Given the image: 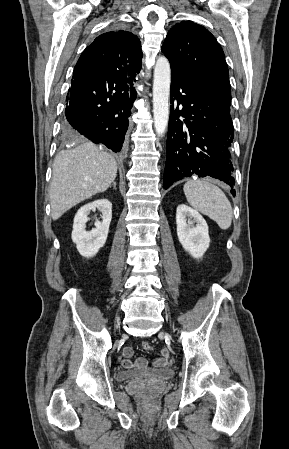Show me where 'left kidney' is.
<instances>
[{
  "label": "left kidney",
  "mask_w": 289,
  "mask_h": 449,
  "mask_svg": "<svg viewBox=\"0 0 289 449\" xmlns=\"http://www.w3.org/2000/svg\"><path fill=\"white\" fill-rule=\"evenodd\" d=\"M177 236L185 251L193 258H201L209 248L210 238L205 219L185 204L176 211Z\"/></svg>",
  "instance_id": "left-kidney-1"
}]
</instances>
